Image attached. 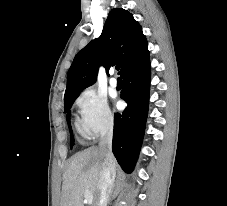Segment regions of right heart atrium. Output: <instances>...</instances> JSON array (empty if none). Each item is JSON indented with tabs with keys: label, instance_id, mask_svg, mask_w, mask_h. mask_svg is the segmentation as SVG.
I'll return each mask as SVG.
<instances>
[{
	"label": "right heart atrium",
	"instance_id": "1",
	"mask_svg": "<svg viewBox=\"0 0 227 206\" xmlns=\"http://www.w3.org/2000/svg\"><path fill=\"white\" fill-rule=\"evenodd\" d=\"M81 125L90 137H98L113 127L114 117L104 95L93 88L81 92L76 100Z\"/></svg>",
	"mask_w": 227,
	"mask_h": 206
}]
</instances>
